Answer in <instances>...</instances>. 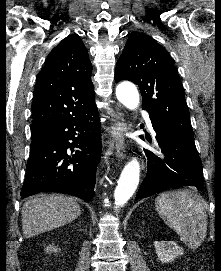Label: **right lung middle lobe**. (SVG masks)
<instances>
[{
	"label": "right lung middle lobe",
	"instance_id": "right-lung-middle-lobe-1",
	"mask_svg": "<svg viewBox=\"0 0 221 271\" xmlns=\"http://www.w3.org/2000/svg\"><path fill=\"white\" fill-rule=\"evenodd\" d=\"M43 130H40V131H31V137L33 136V135H35V134H38V133H40V132H42Z\"/></svg>",
	"mask_w": 221,
	"mask_h": 271
}]
</instances>
